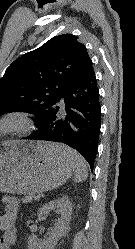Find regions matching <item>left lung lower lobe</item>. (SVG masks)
I'll return each mask as SVG.
<instances>
[{
	"instance_id": "obj_1",
	"label": "left lung lower lobe",
	"mask_w": 135,
	"mask_h": 249,
	"mask_svg": "<svg viewBox=\"0 0 135 249\" xmlns=\"http://www.w3.org/2000/svg\"><path fill=\"white\" fill-rule=\"evenodd\" d=\"M101 126L99 89L93 67L80 80L69 85L55 101L38 126L25 139L65 143L76 149L91 170L98 149Z\"/></svg>"
}]
</instances>
